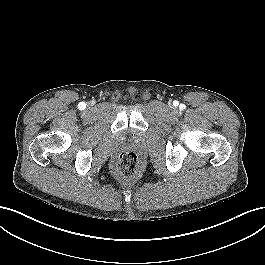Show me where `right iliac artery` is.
Returning a JSON list of instances; mask_svg holds the SVG:
<instances>
[{"mask_svg":"<svg viewBox=\"0 0 265 265\" xmlns=\"http://www.w3.org/2000/svg\"><path fill=\"white\" fill-rule=\"evenodd\" d=\"M78 107H79L80 110H83V109H85L86 104H85L84 102H80V103L78 104Z\"/></svg>","mask_w":265,"mask_h":265,"instance_id":"right-iliac-artery-1","label":"right iliac artery"}]
</instances>
